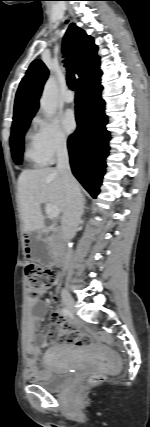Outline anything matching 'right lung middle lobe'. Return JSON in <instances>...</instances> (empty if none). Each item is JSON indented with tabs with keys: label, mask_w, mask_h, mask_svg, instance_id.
Returning a JSON list of instances; mask_svg holds the SVG:
<instances>
[{
	"label": "right lung middle lobe",
	"mask_w": 150,
	"mask_h": 427,
	"mask_svg": "<svg viewBox=\"0 0 150 427\" xmlns=\"http://www.w3.org/2000/svg\"><path fill=\"white\" fill-rule=\"evenodd\" d=\"M32 117L23 119L17 122H14L12 125V132L10 137V146L12 157L14 161L19 164L22 161V153H23V137L26 132Z\"/></svg>",
	"instance_id": "obj_1"
}]
</instances>
